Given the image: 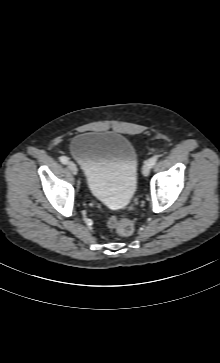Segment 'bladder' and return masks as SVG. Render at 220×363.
Here are the masks:
<instances>
[{
	"mask_svg": "<svg viewBox=\"0 0 220 363\" xmlns=\"http://www.w3.org/2000/svg\"><path fill=\"white\" fill-rule=\"evenodd\" d=\"M70 154L83 168L92 197L109 207H125L137 186L138 154L132 142L115 132L76 135Z\"/></svg>",
	"mask_w": 220,
	"mask_h": 363,
	"instance_id": "1",
	"label": "bladder"
}]
</instances>
